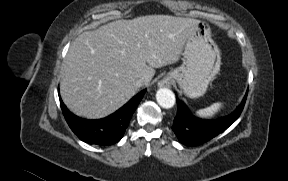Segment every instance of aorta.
<instances>
[{
	"label": "aorta",
	"instance_id": "obj_1",
	"mask_svg": "<svg viewBox=\"0 0 288 181\" xmlns=\"http://www.w3.org/2000/svg\"><path fill=\"white\" fill-rule=\"evenodd\" d=\"M158 104L165 109L172 108L175 104V95L168 88H161L156 93Z\"/></svg>",
	"mask_w": 288,
	"mask_h": 181
}]
</instances>
